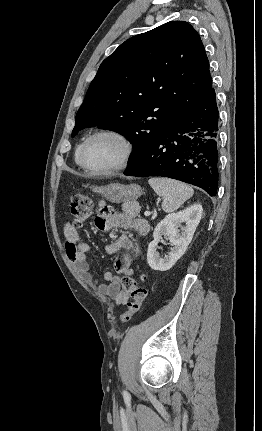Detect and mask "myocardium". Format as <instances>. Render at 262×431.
Wrapping results in <instances>:
<instances>
[{"label": "myocardium", "instance_id": "myocardium-1", "mask_svg": "<svg viewBox=\"0 0 262 431\" xmlns=\"http://www.w3.org/2000/svg\"><path fill=\"white\" fill-rule=\"evenodd\" d=\"M101 136H111L118 139L123 146V154L118 164L108 170L96 171L89 168L85 163V154L89 143ZM134 153V144L131 138L124 132L117 129H104L91 134L82 144L79 153V163L81 167L92 176H110L114 175L127 167Z\"/></svg>", "mask_w": 262, "mask_h": 431}]
</instances>
